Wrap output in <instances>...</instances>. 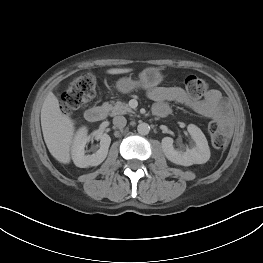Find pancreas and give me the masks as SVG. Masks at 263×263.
Masks as SVG:
<instances>
[{
    "instance_id": "obj_1",
    "label": "pancreas",
    "mask_w": 263,
    "mask_h": 263,
    "mask_svg": "<svg viewBox=\"0 0 263 263\" xmlns=\"http://www.w3.org/2000/svg\"><path fill=\"white\" fill-rule=\"evenodd\" d=\"M103 108H105L109 112L110 116L134 113L128 104L121 102V101H117L113 104H109L106 102L103 104Z\"/></svg>"
}]
</instances>
